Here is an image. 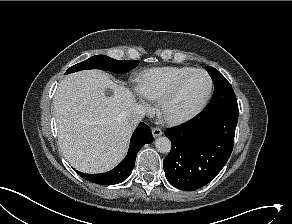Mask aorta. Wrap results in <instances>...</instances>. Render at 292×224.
I'll use <instances>...</instances> for the list:
<instances>
[{
  "instance_id": "aorta-1",
  "label": "aorta",
  "mask_w": 292,
  "mask_h": 224,
  "mask_svg": "<svg viewBox=\"0 0 292 224\" xmlns=\"http://www.w3.org/2000/svg\"><path fill=\"white\" fill-rule=\"evenodd\" d=\"M155 147L160 153H169L171 150V141L167 137H158L155 141Z\"/></svg>"
}]
</instances>
